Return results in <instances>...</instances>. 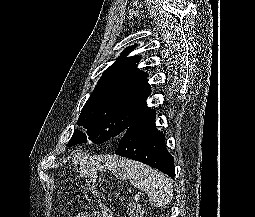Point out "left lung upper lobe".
<instances>
[{
  "mask_svg": "<svg viewBox=\"0 0 255 217\" xmlns=\"http://www.w3.org/2000/svg\"><path fill=\"white\" fill-rule=\"evenodd\" d=\"M134 46L125 49L116 62L106 69L98 85L85 103L78 125L87 128V135L75 130L68 145L95 144L120 140L125 131L149 108L146 99L151 93L147 74L140 71L139 57H126Z\"/></svg>",
  "mask_w": 255,
  "mask_h": 217,
  "instance_id": "obj_1",
  "label": "left lung upper lobe"
}]
</instances>
